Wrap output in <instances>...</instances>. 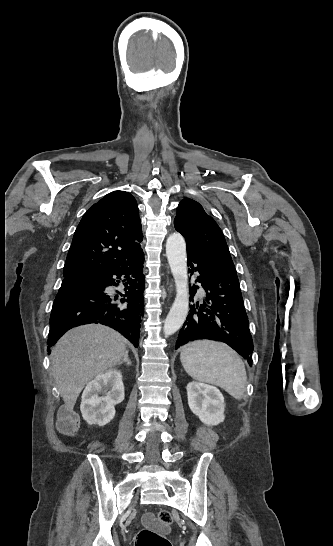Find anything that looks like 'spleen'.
I'll return each instance as SVG.
<instances>
[{"label":"spleen","instance_id":"spleen-1","mask_svg":"<svg viewBox=\"0 0 333 546\" xmlns=\"http://www.w3.org/2000/svg\"><path fill=\"white\" fill-rule=\"evenodd\" d=\"M180 360L193 379L220 386L237 400L243 398L245 365L229 346L210 340L193 341L181 348Z\"/></svg>","mask_w":333,"mask_h":546}]
</instances>
